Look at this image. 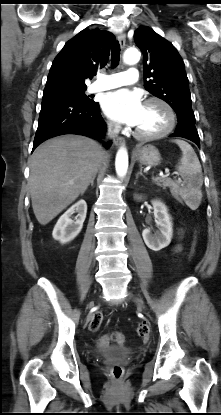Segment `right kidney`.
<instances>
[{
  "mask_svg": "<svg viewBox=\"0 0 221 415\" xmlns=\"http://www.w3.org/2000/svg\"><path fill=\"white\" fill-rule=\"evenodd\" d=\"M77 212L78 215L74 220L71 216ZM87 204L84 200H80L71 206L57 221L52 236L55 240L62 244L73 240L81 231L86 218Z\"/></svg>",
  "mask_w": 221,
  "mask_h": 415,
  "instance_id": "ca27d5eb",
  "label": "right kidney"
}]
</instances>
